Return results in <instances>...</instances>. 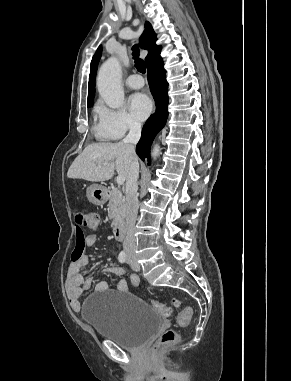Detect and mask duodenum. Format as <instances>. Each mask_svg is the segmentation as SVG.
Returning a JSON list of instances; mask_svg holds the SVG:
<instances>
[{"label":"duodenum","instance_id":"obj_1","mask_svg":"<svg viewBox=\"0 0 291 381\" xmlns=\"http://www.w3.org/2000/svg\"><path fill=\"white\" fill-rule=\"evenodd\" d=\"M114 235L116 240L123 241L126 235V226L123 221L115 224L114 227Z\"/></svg>","mask_w":291,"mask_h":381}]
</instances>
